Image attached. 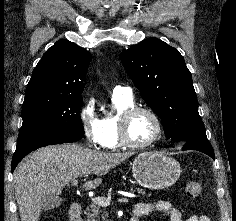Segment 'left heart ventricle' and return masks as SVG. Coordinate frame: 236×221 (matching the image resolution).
<instances>
[{
    "instance_id": "obj_1",
    "label": "left heart ventricle",
    "mask_w": 236,
    "mask_h": 221,
    "mask_svg": "<svg viewBox=\"0 0 236 221\" xmlns=\"http://www.w3.org/2000/svg\"><path fill=\"white\" fill-rule=\"evenodd\" d=\"M156 124L153 118L146 113L136 114L129 123V137L135 143H146L153 138Z\"/></svg>"
}]
</instances>
